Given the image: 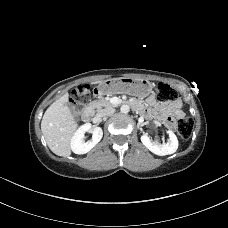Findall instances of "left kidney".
I'll return each mask as SVG.
<instances>
[{
	"instance_id": "left-kidney-1",
	"label": "left kidney",
	"mask_w": 228,
	"mask_h": 228,
	"mask_svg": "<svg viewBox=\"0 0 228 228\" xmlns=\"http://www.w3.org/2000/svg\"><path fill=\"white\" fill-rule=\"evenodd\" d=\"M167 133L169 135V141L167 143L161 144L157 141H152L146 134L141 136V142L147 149L156 155L165 156L173 154L178 148V140L171 130H168Z\"/></svg>"
}]
</instances>
